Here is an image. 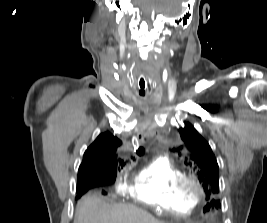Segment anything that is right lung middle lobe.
Returning a JSON list of instances; mask_svg holds the SVG:
<instances>
[{
  "instance_id": "right-lung-middle-lobe-1",
  "label": "right lung middle lobe",
  "mask_w": 267,
  "mask_h": 223,
  "mask_svg": "<svg viewBox=\"0 0 267 223\" xmlns=\"http://www.w3.org/2000/svg\"><path fill=\"white\" fill-rule=\"evenodd\" d=\"M117 176V168H110L106 171V173L101 176L103 179H105L107 182H113L116 179ZM82 194H78L77 198H79Z\"/></svg>"
}]
</instances>
